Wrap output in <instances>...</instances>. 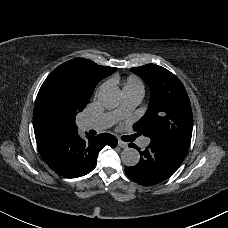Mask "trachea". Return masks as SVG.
Wrapping results in <instances>:
<instances>
[{"label":"trachea","mask_w":228,"mask_h":228,"mask_svg":"<svg viewBox=\"0 0 228 228\" xmlns=\"http://www.w3.org/2000/svg\"><path fill=\"white\" fill-rule=\"evenodd\" d=\"M121 139H122V137H121ZM122 140H123V139H122ZM132 140H133V137L127 136V140H124V141L130 142V141H132Z\"/></svg>","instance_id":"obj_1"}]
</instances>
